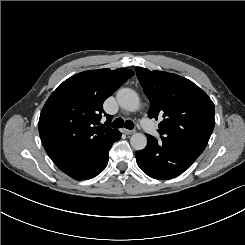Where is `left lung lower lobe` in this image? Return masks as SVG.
I'll use <instances>...</instances> for the list:
<instances>
[{
    "label": "left lung lower lobe",
    "mask_w": 245,
    "mask_h": 245,
    "mask_svg": "<svg viewBox=\"0 0 245 245\" xmlns=\"http://www.w3.org/2000/svg\"><path fill=\"white\" fill-rule=\"evenodd\" d=\"M139 168L154 179H171L186 171L199 157L185 147L147 135V146L136 151Z\"/></svg>",
    "instance_id": "obj_1"
}]
</instances>
